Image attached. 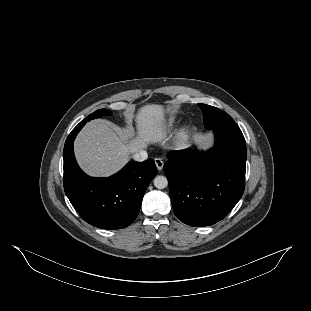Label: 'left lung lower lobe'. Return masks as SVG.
<instances>
[{
  "label": "left lung lower lobe",
  "mask_w": 311,
  "mask_h": 311,
  "mask_svg": "<svg viewBox=\"0 0 311 311\" xmlns=\"http://www.w3.org/2000/svg\"><path fill=\"white\" fill-rule=\"evenodd\" d=\"M215 146L207 153L171 151L164 164L176 216L190 226L222 220L245 187L246 142L238 126L213 129Z\"/></svg>",
  "instance_id": "obj_1"
}]
</instances>
